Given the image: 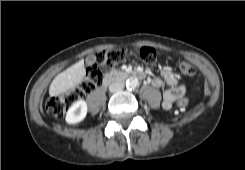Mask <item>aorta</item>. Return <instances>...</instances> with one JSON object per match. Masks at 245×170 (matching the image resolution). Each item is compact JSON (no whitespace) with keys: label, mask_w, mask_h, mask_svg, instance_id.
Wrapping results in <instances>:
<instances>
[{"label":"aorta","mask_w":245,"mask_h":170,"mask_svg":"<svg viewBox=\"0 0 245 170\" xmlns=\"http://www.w3.org/2000/svg\"><path fill=\"white\" fill-rule=\"evenodd\" d=\"M139 81L136 78H130L126 81V86L128 89L133 90L138 87Z\"/></svg>","instance_id":"obj_1"}]
</instances>
